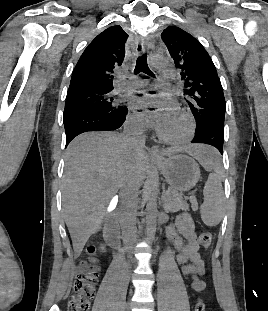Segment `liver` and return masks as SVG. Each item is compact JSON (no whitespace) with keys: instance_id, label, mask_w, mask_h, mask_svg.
<instances>
[{"instance_id":"obj_1","label":"liver","mask_w":268,"mask_h":311,"mask_svg":"<svg viewBox=\"0 0 268 311\" xmlns=\"http://www.w3.org/2000/svg\"><path fill=\"white\" fill-rule=\"evenodd\" d=\"M201 146L189 151L196 155ZM174 149L162 151L171 156ZM149 167L147 153L115 132H89L75 138L65 156L62 199L74 257L100 227L118 190L139 189Z\"/></svg>"}]
</instances>
